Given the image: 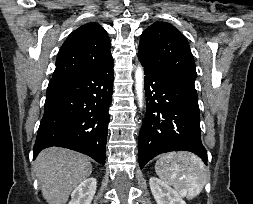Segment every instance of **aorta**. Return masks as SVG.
<instances>
[{"label": "aorta", "mask_w": 253, "mask_h": 204, "mask_svg": "<svg viewBox=\"0 0 253 204\" xmlns=\"http://www.w3.org/2000/svg\"><path fill=\"white\" fill-rule=\"evenodd\" d=\"M135 79H136V93L139 101L140 107H142L143 102V86H144V75H143V69L141 66H138L136 73H135Z\"/></svg>", "instance_id": "762f6f07"}]
</instances>
